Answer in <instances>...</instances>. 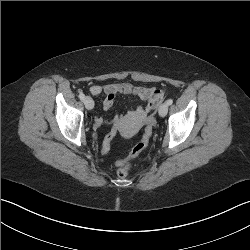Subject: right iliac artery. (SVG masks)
<instances>
[{"mask_svg":"<svg viewBox=\"0 0 250 250\" xmlns=\"http://www.w3.org/2000/svg\"><path fill=\"white\" fill-rule=\"evenodd\" d=\"M79 98H80L81 100H84L85 95H84L83 93H80V94H79Z\"/></svg>","mask_w":250,"mask_h":250,"instance_id":"obj_1","label":"right iliac artery"}]
</instances>
